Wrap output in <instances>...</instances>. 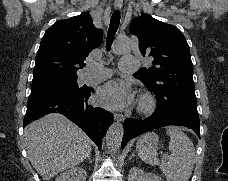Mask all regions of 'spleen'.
<instances>
[{
    "label": "spleen",
    "instance_id": "spleen-1",
    "mask_svg": "<svg viewBox=\"0 0 228 181\" xmlns=\"http://www.w3.org/2000/svg\"><path fill=\"white\" fill-rule=\"evenodd\" d=\"M170 137L169 151L172 153L169 159L160 163L153 147H146L143 139H139L136 151L147 165H158L167 181H189L195 163L194 145L178 127H168L166 131Z\"/></svg>",
    "mask_w": 228,
    "mask_h": 181
}]
</instances>
